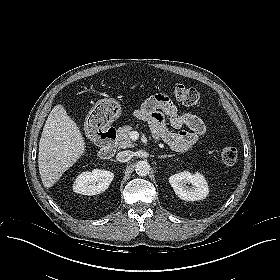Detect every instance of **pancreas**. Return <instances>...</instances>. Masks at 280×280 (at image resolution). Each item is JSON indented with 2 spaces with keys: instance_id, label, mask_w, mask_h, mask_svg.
I'll use <instances>...</instances> for the list:
<instances>
[{
  "instance_id": "obj_1",
  "label": "pancreas",
  "mask_w": 280,
  "mask_h": 280,
  "mask_svg": "<svg viewBox=\"0 0 280 280\" xmlns=\"http://www.w3.org/2000/svg\"><path fill=\"white\" fill-rule=\"evenodd\" d=\"M133 127L125 125L119 127L117 130V144L119 148H133L134 144L130 139V133L132 132Z\"/></svg>"
}]
</instances>
